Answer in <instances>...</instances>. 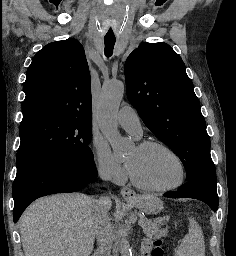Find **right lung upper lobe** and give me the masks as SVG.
Returning <instances> with one entry per match:
<instances>
[{"label":"right lung upper lobe","instance_id":"obj_1","mask_svg":"<svg viewBox=\"0 0 236 256\" xmlns=\"http://www.w3.org/2000/svg\"><path fill=\"white\" fill-rule=\"evenodd\" d=\"M23 119L55 115L91 121V80L83 46L70 38L44 46L24 83Z\"/></svg>","mask_w":236,"mask_h":256}]
</instances>
